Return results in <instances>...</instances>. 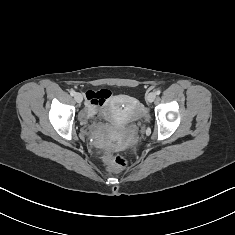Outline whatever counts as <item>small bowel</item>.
<instances>
[{"instance_id": "c3829d8e", "label": "small bowel", "mask_w": 235, "mask_h": 235, "mask_svg": "<svg viewBox=\"0 0 235 235\" xmlns=\"http://www.w3.org/2000/svg\"><path fill=\"white\" fill-rule=\"evenodd\" d=\"M85 99L86 107L81 114L84 119L98 115L102 112L105 106H110L113 104L110 94L107 91L88 90L85 92ZM117 99L123 100L124 97H118Z\"/></svg>"}]
</instances>
